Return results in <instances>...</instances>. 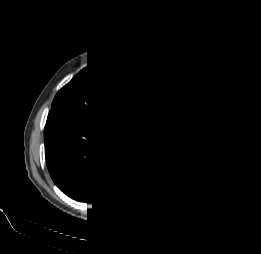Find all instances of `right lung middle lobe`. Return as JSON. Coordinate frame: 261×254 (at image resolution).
Masks as SVG:
<instances>
[{
  "instance_id": "right-lung-middle-lobe-1",
  "label": "right lung middle lobe",
  "mask_w": 261,
  "mask_h": 254,
  "mask_svg": "<svg viewBox=\"0 0 261 254\" xmlns=\"http://www.w3.org/2000/svg\"><path fill=\"white\" fill-rule=\"evenodd\" d=\"M97 72L92 66L81 70L56 94L48 116L73 117L97 131H105Z\"/></svg>"
}]
</instances>
